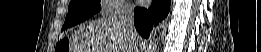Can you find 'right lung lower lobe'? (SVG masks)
Returning <instances> with one entry per match:
<instances>
[{
	"mask_svg": "<svg viewBox=\"0 0 261 52\" xmlns=\"http://www.w3.org/2000/svg\"><path fill=\"white\" fill-rule=\"evenodd\" d=\"M170 0H152L150 8H135V27L141 36L148 38L153 27L169 13Z\"/></svg>",
	"mask_w": 261,
	"mask_h": 52,
	"instance_id": "obj_1",
	"label": "right lung lower lobe"
}]
</instances>
